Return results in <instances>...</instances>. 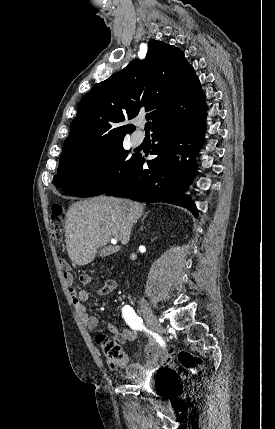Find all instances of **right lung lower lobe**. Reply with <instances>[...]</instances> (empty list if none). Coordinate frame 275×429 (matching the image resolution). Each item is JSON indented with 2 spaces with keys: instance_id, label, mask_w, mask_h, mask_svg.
I'll use <instances>...</instances> for the list:
<instances>
[{
  "instance_id": "obj_1",
  "label": "right lung lower lobe",
  "mask_w": 275,
  "mask_h": 429,
  "mask_svg": "<svg viewBox=\"0 0 275 429\" xmlns=\"http://www.w3.org/2000/svg\"><path fill=\"white\" fill-rule=\"evenodd\" d=\"M206 109L197 116L156 130L151 154L147 161L139 156L132 171L106 195L130 198L139 202H166L187 208L197 217V208L185 191L192 182L196 164L194 156L204 139ZM189 157L187 160L186 158Z\"/></svg>"
}]
</instances>
